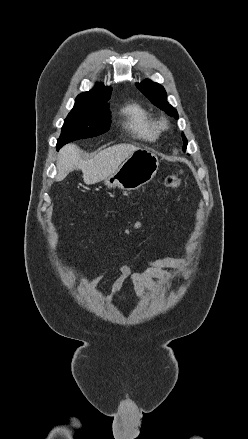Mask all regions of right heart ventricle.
I'll use <instances>...</instances> for the list:
<instances>
[{
	"instance_id": "obj_1",
	"label": "right heart ventricle",
	"mask_w": 248,
	"mask_h": 439,
	"mask_svg": "<svg viewBox=\"0 0 248 439\" xmlns=\"http://www.w3.org/2000/svg\"><path fill=\"white\" fill-rule=\"evenodd\" d=\"M123 127L136 138L155 141L159 137V128L148 109L136 101L126 102L120 109Z\"/></svg>"
}]
</instances>
